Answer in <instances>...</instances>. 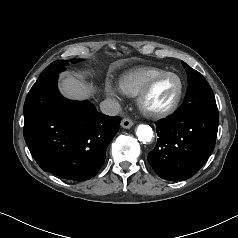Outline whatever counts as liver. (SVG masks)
Segmentation results:
<instances>
[{"label":"liver","instance_id":"liver-1","mask_svg":"<svg viewBox=\"0 0 238 238\" xmlns=\"http://www.w3.org/2000/svg\"><path fill=\"white\" fill-rule=\"evenodd\" d=\"M60 86L62 92L73 99H85L90 95L86 86L73 75L64 77Z\"/></svg>","mask_w":238,"mask_h":238}]
</instances>
